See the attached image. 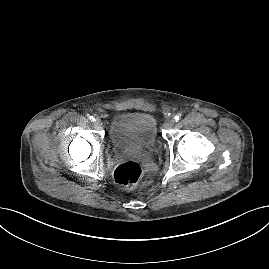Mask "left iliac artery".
I'll return each instance as SVG.
<instances>
[{
	"label": "left iliac artery",
	"mask_w": 269,
	"mask_h": 269,
	"mask_svg": "<svg viewBox=\"0 0 269 269\" xmlns=\"http://www.w3.org/2000/svg\"><path fill=\"white\" fill-rule=\"evenodd\" d=\"M179 119H180V116H179V115H176V116L174 117V121H175V122L179 121Z\"/></svg>",
	"instance_id": "obj_1"
}]
</instances>
